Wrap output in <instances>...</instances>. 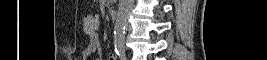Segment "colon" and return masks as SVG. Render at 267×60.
<instances>
[{
  "label": "colon",
  "mask_w": 267,
  "mask_h": 60,
  "mask_svg": "<svg viewBox=\"0 0 267 60\" xmlns=\"http://www.w3.org/2000/svg\"><path fill=\"white\" fill-rule=\"evenodd\" d=\"M83 28L87 34L95 32L98 28V22L96 18L92 15H85L83 19Z\"/></svg>",
  "instance_id": "colon-1"
}]
</instances>
